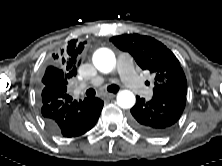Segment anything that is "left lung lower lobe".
<instances>
[{"label": "left lung lower lobe", "instance_id": "0a47b994", "mask_svg": "<svg viewBox=\"0 0 222 166\" xmlns=\"http://www.w3.org/2000/svg\"><path fill=\"white\" fill-rule=\"evenodd\" d=\"M131 109L130 124L141 134L160 137L171 131L186 104V93L163 90L154 93L150 101L136 97Z\"/></svg>", "mask_w": 222, "mask_h": 166}]
</instances>
